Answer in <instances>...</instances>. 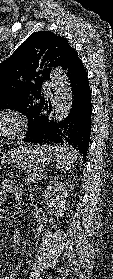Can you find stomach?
<instances>
[{
	"mask_svg": "<svg viewBox=\"0 0 113 279\" xmlns=\"http://www.w3.org/2000/svg\"><path fill=\"white\" fill-rule=\"evenodd\" d=\"M52 161V154L44 146L38 144L18 145L4 154L1 163L15 168L36 171Z\"/></svg>",
	"mask_w": 113,
	"mask_h": 279,
	"instance_id": "stomach-1",
	"label": "stomach"
}]
</instances>
